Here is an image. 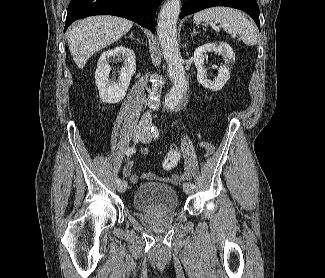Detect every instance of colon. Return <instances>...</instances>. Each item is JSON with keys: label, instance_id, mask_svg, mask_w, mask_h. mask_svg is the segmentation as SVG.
I'll list each match as a JSON object with an SVG mask.
<instances>
[{"label": "colon", "instance_id": "1", "mask_svg": "<svg viewBox=\"0 0 325 278\" xmlns=\"http://www.w3.org/2000/svg\"><path fill=\"white\" fill-rule=\"evenodd\" d=\"M180 161V154L177 148H171L165 156L162 166L166 171L174 169Z\"/></svg>", "mask_w": 325, "mask_h": 278}]
</instances>
